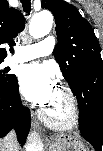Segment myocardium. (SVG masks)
Masks as SVG:
<instances>
[{
    "mask_svg": "<svg viewBox=\"0 0 103 151\" xmlns=\"http://www.w3.org/2000/svg\"><path fill=\"white\" fill-rule=\"evenodd\" d=\"M58 90L64 95L66 101H67V116L62 119V120H56L52 118L46 109H43L41 112V117L46 125L53 129L57 130H67L73 128L79 118V108H78V103L76 100V97L72 90L66 86V85H61Z\"/></svg>",
    "mask_w": 103,
    "mask_h": 151,
    "instance_id": "obj_1",
    "label": "myocardium"
}]
</instances>
